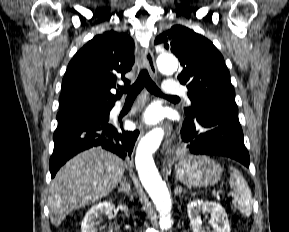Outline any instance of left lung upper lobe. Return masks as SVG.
<instances>
[{"mask_svg":"<svg viewBox=\"0 0 289 232\" xmlns=\"http://www.w3.org/2000/svg\"><path fill=\"white\" fill-rule=\"evenodd\" d=\"M154 43L170 49L180 61L183 69L178 79L187 86L192 104L191 108H185L187 118L215 111L238 120L230 73L211 41L187 27L174 25Z\"/></svg>","mask_w":289,"mask_h":232,"instance_id":"left-lung-upper-lobe-1","label":"left lung upper lobe"}]
</instances>
